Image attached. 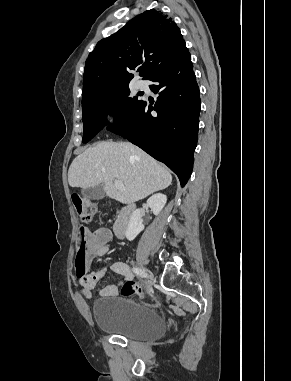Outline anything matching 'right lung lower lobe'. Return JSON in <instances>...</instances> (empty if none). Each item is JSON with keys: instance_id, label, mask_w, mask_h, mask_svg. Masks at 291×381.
<instances>
[{"instance_id": "obj_1", "label": "right lung lower lobe", "mask_w": 291, "mask_h": 381, "mask_svg": "<svg viewBox=\"0 0 291 381\" xmlns=\"http://www.w3.org/2000/svg\"><path fill=\"white\" fill-rule=\"evenodd\" d=\"M149 80L156 83L150 89L159 93L155 105L142 101L132 115L108 130L165 163L184 187L192 172L201 107L188 49ZM152 111L156 114H151Z\"/></svg>"}]
</instances>
